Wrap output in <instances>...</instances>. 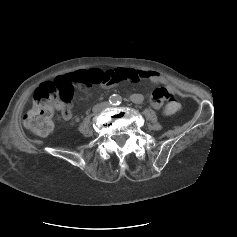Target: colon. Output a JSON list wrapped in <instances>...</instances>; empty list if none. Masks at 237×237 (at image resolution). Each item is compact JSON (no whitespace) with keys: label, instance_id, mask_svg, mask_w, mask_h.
<instances>
[{"label":"colon","instance_id":"1","mask_svg":"<svg viewBox=\"0 0 237 237\" xmlns=\"http://www.w3.org/2000/svg\"><path fill=\"white\" fill-rule=\"evenodd\" d=\"M106 82L105 74L100 70H80L73 74L57 77L52 82L39 86L33 96L31 109L24 118L25 127L35 135L46 136L53 129V115L59 101L68 103L73 96L74 87L85 88L92 84ZM180 108L176 98L167 103L164 114L172 115Z\"/></svg>","mask_w":237,"mask_h":237}]
</instances>
